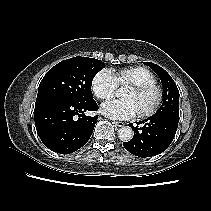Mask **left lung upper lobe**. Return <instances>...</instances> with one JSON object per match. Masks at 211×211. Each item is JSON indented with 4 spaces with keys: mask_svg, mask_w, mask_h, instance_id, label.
<instances>
[{
    "mask_svg": "<svg viewBox=\"0 0 211 211\" xmlns=\"http://www.w3.org/2000/svg\"><path fill=\"white\" fill-rule=\"evenodd\" d=\"M160 77L163 85V103L153 116H162L179 122V91L171 76L160 66L144 62Z\"/></svg>",
    "mask_w": 211,
    "mask_h": 211,
    "instance_id": "1",
    "label": "left lung upper lobe"
}]
</instances>
